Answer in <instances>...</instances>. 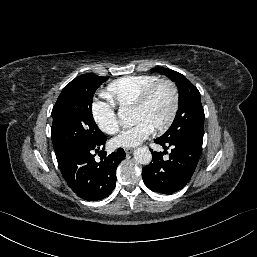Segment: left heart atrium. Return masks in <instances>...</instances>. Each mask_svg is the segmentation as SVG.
Returning <instances> with one entry per match:
<instances>
[{"label":"left heart atrium","instance_id":"obj_1","mask_svg":"<svg viewBox=\"0 0 257 257\" xmlns=\"http://www.w3.org/2000/svg\"><path fill=\"white\" fill-rule=\"evenodd\" d=\"M152 131V127L146 122L138 121L134 126L122 130L112 142L116 147H135L147 139Z\"/></svg>","mask_w":257,"mask_h":257}]
</instances>
